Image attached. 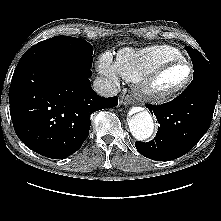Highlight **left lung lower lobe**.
<instances>
[{"label": "left lung lower lobe", "mask_w": 221, "mask_h": 221, "mask_svg": "<svg viewBox=\"0 0 221 221\" xmlns=\"http://www.w3.org/2000/svg\"><path fill=\"white\" fill-rule=\"evenodd\" d=\"M221 103V72L194 77L190 85L171 102L146 105L160 124L155 139L136 141L143 156L158 161L186 154L209 129L216 102Z\"/></svg>", "instance_id": "obj_1"}]
</instances>
